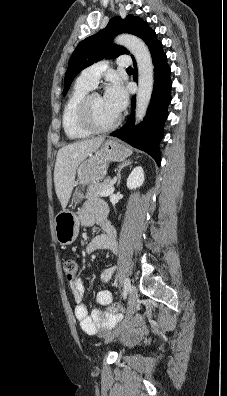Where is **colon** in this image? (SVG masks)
I'll use <instances>...</instances> for the list:
<instances>
[{
  "label": "colon",
  "mask_w": 227,
  "mask_h": 396,
  "mask_svg": "<svg viewBox=\"0 0 227 396\" xmlns=\"http://www.w3.org/2000/svg\"><path fill=\"white\" fill-rule=\"evenodd\" d=\"M63 272L68 281H73L77 274V262L74 259H65L63 261ZM108 310L110 312H119L121 311V306L119 303H112L108 306Z\"/></svg>",
  "instance_id": "1"
}]
</instances>
